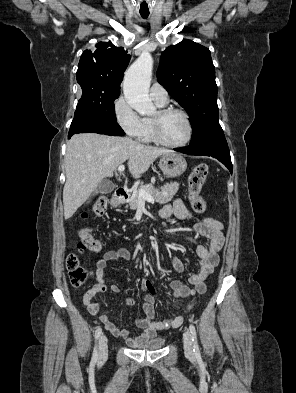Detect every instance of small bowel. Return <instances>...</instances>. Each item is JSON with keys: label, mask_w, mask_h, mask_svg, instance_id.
Instances as JSON below:
<instances>
[{"label": "small bowel", "mask_w": 296, "mask_h": 393, "mask_svg": "<svg viewBox=\"0 0 296 393\" xmlns=\"http://www.w3.org/2000/svg\"><path fill=\"white\" fill-rule=\"evenodd\" d=\"M160 216L164 219L175 216L180 220H191L193 218L192 212L180 199L175 200L172 204L164 206L160 211ZM199 236L208 239L207 244H198L196 248L199 260V270L188 273L190 286L184 284L181 280L172 281L171 288L174 298H186L194 294H204L206 291L205 281L213 273L214 268L218 264V252L224 243L223 224L215 218L204 217L193 225L189 233L183 237V240L185 242L194 243ZM130 259L131 253L126 248H118L105 252L96 262L97 284L84 293L82 300L88 312L93 316H99L100 322L108 331L114 336L126 339L129 346L137 347L154 338L160 330L177 328L182 324L183 317L175 316L168 319L157 320L156 305L158 297L150 279H144L141 285V289L144 292L142 308L145 316L142 318H134V324L139 330V333L122 329L112 322L107 315L100 314V305L93 301V298L97 294L105 292L108 288L106 283L107 263L111 261H129ZM172 264L177 272H185L184 264L180 259L173 258ZM109 289L113 293L120 292V286L117 284L110 285ZM135 303V298H129L126 300L125 305L132 306Z\"/></svg>", "instance_id": "small-bowel-1"}]
</instances>
